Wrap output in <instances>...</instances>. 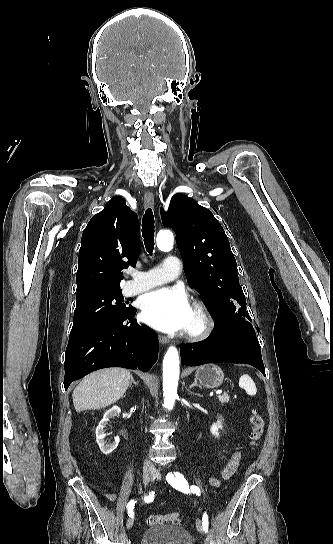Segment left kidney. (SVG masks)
I'll list each match as a JSON object with an SVG mask.
<instances>
[{
	"mask_svg": "<svg viewBox=\"0 0 333 544\" xmlns=\"http://www.w3.org/2000/svg\"><path fill=\"white\" fill-rule=\"evenodd\" d=\"M223 426H222V420H217L216 423H214L211 428H210V432L212 435H214L216 438L219 437V430L222 429Z\"/></svg>",
	"mask_w": 333,
	"mask_h": 544,
	"instance_id": "1",
	"label": "left kidney"
}]
</instances>
